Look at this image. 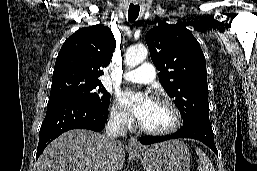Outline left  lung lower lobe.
Instances as JSON below:
<instances>
[{
	"label": "left lung lower lobe",
	"mask_w": 257,
	"mask_h": 171,
	"mask_svg": "<svg viewBox=\"0 0 257 171\" xmlns=\"http://www.w3.org/2000/svg\"><path fill=\"white\" fill-rule=\"evenodd\" d=\"M177 138H192L203 142L207 145L215 154L218 155L214 143V134L210 122L202 120H194L187 124H184L181 129L176 133L165 136H142L140 142L144 145L163 142L170 139Z\"/></svg>",
	"instance_id": "left-lung-lower-lobe-1"
}]
</instances>
